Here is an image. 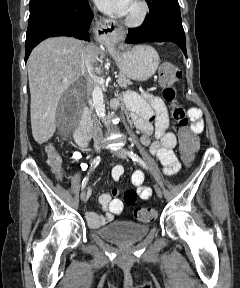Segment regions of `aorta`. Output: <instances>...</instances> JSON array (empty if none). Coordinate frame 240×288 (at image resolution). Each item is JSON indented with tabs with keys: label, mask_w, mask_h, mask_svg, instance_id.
<instances>
[{
	"label": "aorta",
	"mask_w": 240,
	"mask_h": 288,
	"mask_svg": "<svg viewBox=\"0 0 240 288\" xmlns=\"http://www.w3.org/2000/svg\"><path fill=\"white\" fill-rule=\"evenodd\" d=\"M92 101L96 114L103 119L106 116L105 104L103 99V91L100 86L96 85L92 91Z\"/></svg>",
	"instance_id": "1"
}]
</instances>
